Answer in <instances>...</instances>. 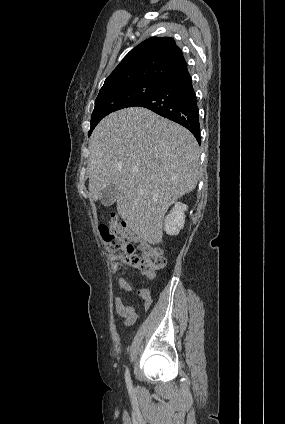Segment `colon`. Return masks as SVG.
Wrapping results in <instances>:
<instances>
[{
	"label": "colon",
	"instance_id": "1",
	"mask_svg": "<svg viewBox=\"0 0 285 424\" xmlns=\"http://www.w3.org/2000/svg\"><path fill=\"white\" fill-rule=\"evenodd\" d=\"M99 232L115 267H130L146 278H153L158 270L165 267L166 259L157 247L143 244L142 254L135 253L130 243L134 235L129 226L118 217L112 216L102 222Z\"/></svg>",
	"mask_w": 285,
	"mask_h": 424
}]
</instances>
